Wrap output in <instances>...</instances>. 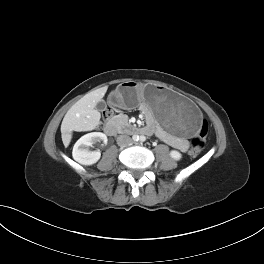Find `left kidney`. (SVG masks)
<instances>
[{
	"mask_svg": "<svg viewBox=\"0 0 264 264\" xmlns=\"http://www.w3.org/2000/svg\"><path fill=\"white\" fill-rule=\"evenodd\" d=\"M170 156H171L172 159H174L176 161L181 159V153L179 151H177V150L170 151Z\"/></svg>",
	"mask_w": 264,
	"mask_h": 264,
	"instance_id": "left-kidney-1",
	"label": "left kidney"
}]
</instances>
